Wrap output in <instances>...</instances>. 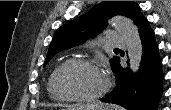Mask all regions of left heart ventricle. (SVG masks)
I'll list each match as a JSON object with an SVG mask.
<instances>
[{
  "instance_id": "obj_1",
  "label": "left heart ventricle",
  "mask_w": 171,
  "mask_h": 110,
  "mask_svg": "<svg viewBox=\"0 0 171 110\" xmlns=\"http://www.w3.org/2000/svg\"><path fill=\"white\" fill-rule=\"evenodd\" d=\"M102 73L83 65H69L57 77L61 92L73 96H91L98 93L104 85Z\"/></svg>"
}]
</instances>
